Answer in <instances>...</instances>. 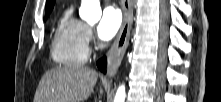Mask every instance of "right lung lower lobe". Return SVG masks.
<instances>
[{"label":"right lung lower lobe","instance_id":"obj_1","mask_svg":"<svg viewBox=\"0 0 221 102\" xmlns=\"http://www.w3.org/2000/svg\"><path fill=\"white\" fill-rule=\"evenodd\" d=\"M99 69L101 71H104L105 72V69H106V58H103L101 59L98 63H97Z\"/></svg>","mask_w":221,"mask_h":102}]
</instances>
